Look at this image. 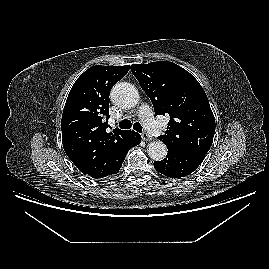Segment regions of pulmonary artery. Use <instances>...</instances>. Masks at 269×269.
<instances>
[{"instance_id":"pulmonary-artery-1","label":"pulmonary artery","mask_w":269,"mask_h":269,"mask_svg":"<svg viewBox=\"0 0 269 269\" xmlns=\"http://www.w3.org/2000/svg\"><path fill=\"white\" fill-rule=\"evenodd\" d=\"M138 116L142 122L144 129L151 136L158 137L162 134L163 127L159 122H157L153 118L152 109L148 105L146 104L141 105V107L138 110Z\"/></svg>"}]
</instances>
